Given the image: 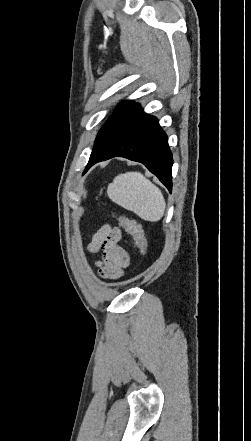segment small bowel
Instances as JSON below:
<instances>
[{
    "instance_id": "obj_1",
    "label": "small bowel",
    "mask_w": 251,
    "mask_h": 441,
    "mask_svg": "<svg viewBox=\"0 0 251 441\" xmlns=\"http://www.w3.org/2000/svg\"><path fill=\"white\" fill-rule=\"evenodd\" d=\"M122 233L110 225L101 227L92 237L89 250L102 251V258L96 262L101 277L118 279L130 264L128 252L120 246Z\"/></svg>"
}]
</instances>
